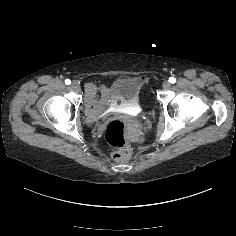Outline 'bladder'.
Returning a JSON list of instances; mask_svg holds the SVG:
<instances>
[{"label":"bladder","mask_w":236,"mask_h":236,"mask_svg":"<svg viewBox=\"0 0 236 236\" xmlns=\"http://www.w3.org/2000/svg\"><path fill=\"white\" fill-rule=\"evenodd\" d=\"M141 86L137 77H117L109 85L106 96L117 102H137Z\"/></svg>","instance_id":"obj_1"}]
</instances>
